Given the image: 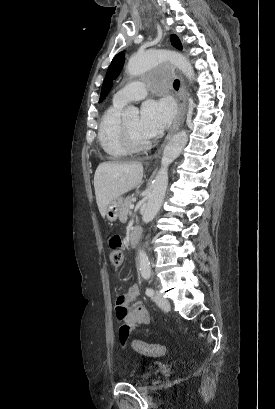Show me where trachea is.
I'll use <instances>...</instances> for the list:
<instances>
[{
  "label": "trachea",
  "mask_w": 275,
  "mask_h": 409,
  "mask_svg": "<svg viewBox=\"0 0 275 409\" xmlns=\"http://www.w3.org/2000/svg\"><path fill=\"white\" fill-rule=\"evenodd\" d=\"M179 86H180V82H179L178 79H176V80L174 81L173 87H174L175 90H178V89H179Z\"/></svg>",
  "instance_id": "3493384b"
}]
</instances>
